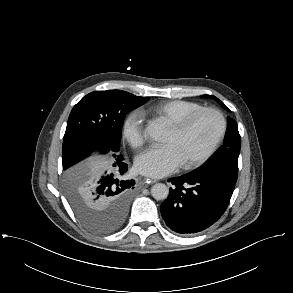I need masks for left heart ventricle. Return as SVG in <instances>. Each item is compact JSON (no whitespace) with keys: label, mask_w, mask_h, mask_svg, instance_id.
Listing matches in <instances>:
<instances>
[{"label":"left heart ventricle","mask_w":293,"mask_h":293,"mask_svg":"<svg viewBox=\"0 0 293 293\" xmlns=\"http://www.w3.org/2000/svg\"><path fill=\"white\" fill-rule=\"evenodd\" d=\"M220 129V121L213 113L198 116L183 132L169 129L165 144H172L180 153L183 162L193 160L203 154L211 145Z\"/></svg>","instance_id":"left-heart-ventricle-1"}]
</instances>
